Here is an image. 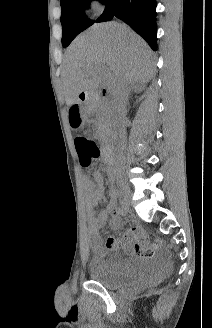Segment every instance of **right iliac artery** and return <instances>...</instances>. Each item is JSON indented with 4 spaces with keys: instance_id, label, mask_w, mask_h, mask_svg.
<instances>
[{
    "instance_id": "82829eb1",
    "label": "right iliac artery",
    "mask_w": 212,
    "mask_h": 328,
    "mask_svg": "<svg viewBox=\"0 0 212 328\" xmlns=\"http://www.w3.org/2000/svg\"><path fill=\"white\" fill-rule=\"evenodd\" d=\"M120 204H121V206L124 208L125 207V201L122 199V200H120Z\"/></svg>"
}]
</instances>
